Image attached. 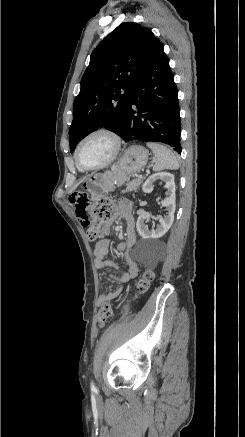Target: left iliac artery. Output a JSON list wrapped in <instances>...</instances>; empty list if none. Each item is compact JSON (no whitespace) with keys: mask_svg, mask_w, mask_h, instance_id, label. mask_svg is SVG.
Wrapping results in <instances>:
<instances>
[{"mask_svg":"<svg viewBox=\"0 0 245 437\" xmlns=\"http://www.w3.org/2000/svg\"><path fill=\"white\" fill-rule=\"evenodd\" d=\"M91 388H92V389H95V385H94L93 382H91Z\"/></svg>","mask_w":245,"mask_h":437,"instance_id":"44dca946","label":"left iliac artery"}]
</instances>
